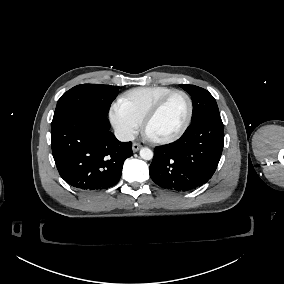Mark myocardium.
Here are the masks:
<instances>
[{"instance_id":"f54148a6","label":"myocardium","mask_w":284,"mask_h":284,"mask_svg":"<svg viewBox=\"0 0 284 284\" xmlns=\"http://www.w3.org/2000/svg\"><path fill=\"white\" fill-rule=\"evenodd\" d=\"M182 94L188 102V114L186 117L185 122L183 123V125L181 126V128L172 136L165 138V139H154L151 138L150 136H148L147 134V128L149 126V124L152 122V120L161 112V110L163 109V107L165 106V104L168 102V100L174 96L175 94ZM193 114H194V104H193V100L191 98V96L184 90L181 89H175L169 93H167L166 95H164L147 113V115L145 116V118L143 119L142 123H141V128H142V132L144 134V136L151 142L158 144V145H164V144H169L172 142H175L176 140H178L188 129V127L191 124L192 118H193Z\"/></svg>"}]
</instances>
